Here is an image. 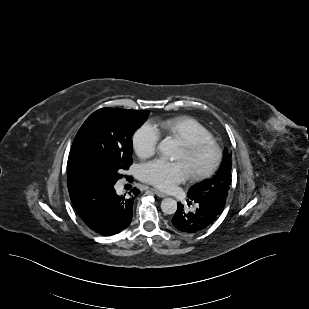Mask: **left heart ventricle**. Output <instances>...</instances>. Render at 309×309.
Returning <instances> with one entry per match:
<instances>
[{
	"mask_svg": "<svg viewBox=\"0 0 309 309\" xmlns=\"http://www.w3.org/2000/svg\"><path fill=\"white\" fill-rule=\"evenodd\" d=\"M178 159L182 160L187 165L189 171H192L195 168L204 165L209 159V154L203 153L200 156L191 159V158L187 157L186 152H185L184 147H183L181 149L179 156H178Z\"/></svg>",
	"mask_w": 309,
	"mask_h": 309,
	"instance_id": "left-heart-ventricle-1",
	"label": "left heart ventricle"
}]
</instances>
